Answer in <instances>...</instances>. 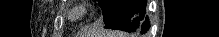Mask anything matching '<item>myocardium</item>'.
<instances>
[{
  "instance_id": "myocardium-1",
  "label": "myocardium",
  "mask_w": 219,
  "mask_h": 37,
  "mask_svg": "<svg viewBox=\"0 0 219 37\" xmlns=\"http://www.w3.org/2000/svg\"><path fill=\"white\" fill-rule=\"evenodd\" d=\"M87 13V8L84 4H75L71 9L69 10V18L71 20H80L82 19Z\"/></svg>"
}]
</instances>
